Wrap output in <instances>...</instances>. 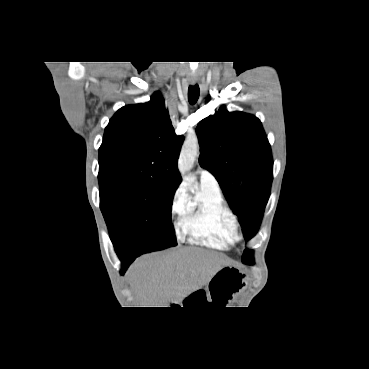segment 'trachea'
<instances>
[{"instance_id": "3493384b", "label": "trachea", "mask_w": 369, "mask_h": 369, "mask_svg": "<svg viewBox=\"0 0 369 369\" xmlns=\"http://www.w3.org/2000/svg\"><path fill=\"white\" fill-rule=\"evenodd\" d=\"M200 89L199 86L196 84L194 86H189L188 89V100L190 104H195L199 98Z\"/></svg>"}]
</instances>
